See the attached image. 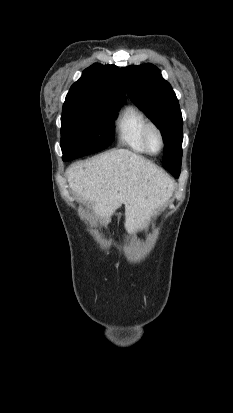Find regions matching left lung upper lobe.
Returning <instances> with one entry per match:
<instances>
[{
	"instance_id": "obj_1",
	"label": "left lung upper lobe",
	"mask_w": 233,
	"mask_h": 413,
	"mask_svg": "<svg viewBox=\"0 0 233 413\" xmlns=\"http://www.w3.org/2000/svg\"><path fill=\"white\" fill-rule=\"evenodd\" d=\"M128 96L160 129L164 142L163 167L172 175L180 169L183 121L171 85L153 64L122 68Z\"/></svg>"
}]
</instances>
